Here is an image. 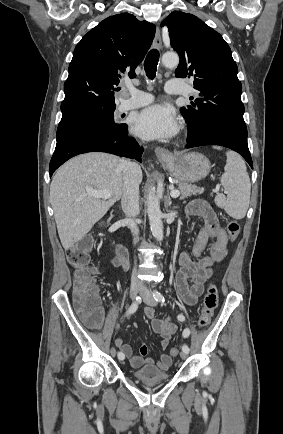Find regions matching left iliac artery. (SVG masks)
<instances>
[{"label":"left iliac artery","mask_w":283,"mask_h":434,"mask_svg":"<svg viewBox=\"0 0 283 434\" xmlns=\"http://www.w3.org/2000/svg\"><path fill=\"white\" fill-rule=\"evenodd\" d=\"M153 296H154V298H155L156 301H159V302H164L165 301L164 296L160 292H158V291H154ZM177 318H178L179 321H184L185 320V317L182 314H179ZM189 334H190V330L187 329V328L182 333V335H183L184 338L188 337ZM182 350L184 352H187V353H189V351H190L189 347L186 344H184L182 346Z\"/></svg>","instance_id":"1"}]
</instances>
